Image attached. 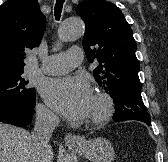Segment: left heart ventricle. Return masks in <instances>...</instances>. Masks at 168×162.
Listing matches in <instances>:
<instances>
[{
  "label": "left heart ventricle",
  "instance_id": "1",
  "mask_svg": "<svg viewBox=\"0 0 168 162\" xmlns=\"http://www.w3.org/2000/svg\"><path fill=\"white\" fill-rule=\"evenodd\" d=\"M100 110L99 103L93 98L88 118L95 115Z\"/></svg>",
  "mask_w": 168,
  "mask_h": 162
}]
</instances>
